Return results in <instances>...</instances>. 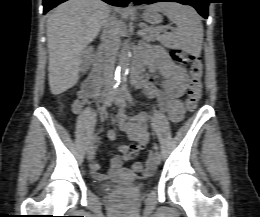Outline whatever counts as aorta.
<instances>
[{"label": "aorta", "instance_id": "aorta-1", "mask_svg": "<svg viewBox=\"0 0 260 217\" xmlns=\"http://www.w3.org/2000/svg\"><path fill=\"white\" fill-rule=\"evenodd\" d=\"M130 56V42L129 39H126L123 43L119 65L117 67L118 81L124 80L126 77L129 67Z\"/></svg>", "mask_w": 260, "mask_h": 217}]
</instances>
